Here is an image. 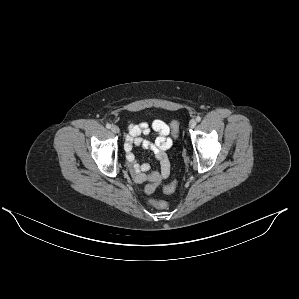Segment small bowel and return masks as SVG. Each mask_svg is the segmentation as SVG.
<instances>
[{"instance_id": "1", "label": "small bowel", "mask_w": 299, "mask_h": 299, "mask_svg": "<svg viewBox=\"0 0 299 299\" xmlns=\"http://www.w3.org/2000/svg\"><path fill=\"white\" fill-rule=\"evenodd\" d=\"M151 132L157 134L153 142L142 137ZM134 146L150 148L159 162L158 169L149 172L150 165L148 163L139 164L133 152ZM171 146L170 128L160 119L154 120L151 124L142 122L129 126L125 143L126 159L134 180L139 184H145V191L147 193H153L157 186L168 178L170 174V162L166 151Z\"/></svg>"}]
</instances>
